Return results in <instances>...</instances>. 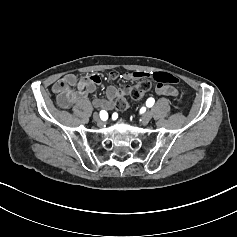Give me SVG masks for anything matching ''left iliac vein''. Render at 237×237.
<instances>
[{
  "mask_svg": "<svg viewBox=\"0 0 237 237\" xmlns=\"http://www.w3.org/2000/svg\"><path fill=\"white\" fill-rule=\"evenodd\" d=\"M151 118H152V113L150 111H147L142 115V122L144 124H147Z\"/></svg>",
  "mask_w": 237,
  "mask_h": 237,
  "instance_id": "obj_1",
  "label": "left iliac vein"
}]
</instances>
